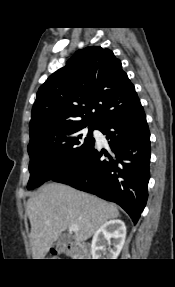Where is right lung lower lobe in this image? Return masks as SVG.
Listing matches in <instances>:
<instances>
[{"mask_svg": "<svg viewBox=\"0 0 175 287\" xmlns=\"http://www.w3.org/2000/svg\"><path fill=\"white\" fill-rule=\"evenodd\" d=\"M98 130L109 139L113 155L94 148L79 165L53 181L117 203L136 223L146 205L150 178V132L140 101L104 120Z\"/></svg>", "mask_w": 175, "mask_h": 287, "instance_id": "98d812e1", "label": "right lung lower lobe"}]
</instances>
